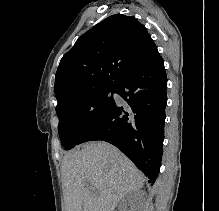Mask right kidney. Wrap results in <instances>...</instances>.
<instances>
[{
  "instance_id": "ca27d5eb",
  "label": "right kidney",
  "mask_w": 219,
  "mask_h": 211,
  "mask_svg": "<svg viewBox=\"0 0 219 211\" xmlns=\"http://www.w3.org/2000/svg\"><path fill=\"white\" fill-rule=\"evenodd\" d=\"M137 195L138 193H141V191H136ZM129 199H131V201H125V203H123V207H125V211H131V209H133V207H136L137 203H138V199L137 197H129ZM129 203H132L130 209H128L127 205H129Z\"/></svg>"
}]
</instances>
